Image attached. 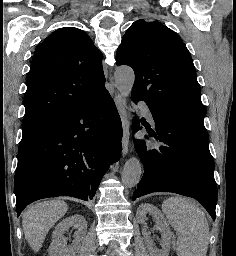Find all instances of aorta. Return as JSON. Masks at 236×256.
<instances>
[{
  "mask_svg": "<svg viewBox=\"0 0 236 256\" xmlns=\"http://www.w3.org/2000/svg\"><path fill=\"white\" fill-rule=\"evenodd\" d=\"M135 81L134 71L128 66H121L115 72V84L123 97L130 95ZM142 167L138 158H129L122 170V183L127 188L135 187L141 178Z\"/></svg>",
  "mask_w": 236,
  "mask_h": 256,
  "instance_id": "762f6f07",
  "label": "aorta"
}]
</instances>
